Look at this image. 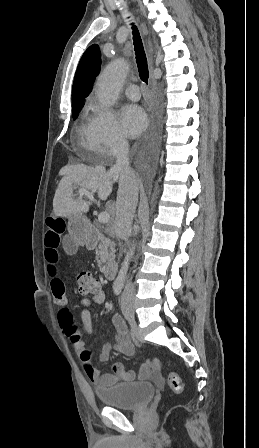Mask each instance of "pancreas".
<instances>
[{
    "label": "pancreas",
    "mask_w": 259,
    "mask_h": 448,
    "mask_svg": "<svg viewBox=\"0 0 259 448\" xmlns=\"http://www.w3.org/2000/svg\"><path fill=\"white\" fill-rule=\"evenodd\" d=\"M115 242L110 238H103L96 250V262L101 270L103 262H113L115 258Z\"/></svg>",
    "instance_id": "pancreas-1"
}]
</instances>
